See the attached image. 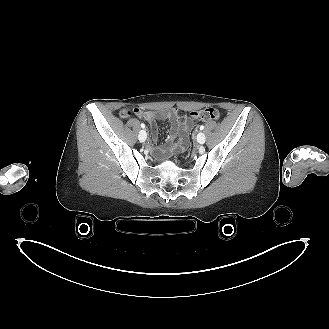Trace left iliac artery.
<instances>
[{
    "mask_svg": "<svg viewBox=\"0 0 329 329\" xmlns=\"http://www.w3.org/2000/svg\"><path fill=\"white\" fill-rule=\"evenodd\" d=\"M203 129H204V126H203V125H201V126H200V130H203Z\"/></svg>",
    "mask_w": 329,
    "mask_h": 329,
    "instance_id": "left-iliac-artery-1",
    "label": "left iliac artery"
}]
</instances>
